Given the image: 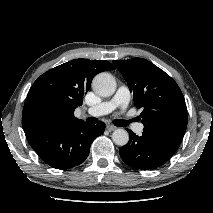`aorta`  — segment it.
I'll list each match as a JSON object with an SVG mask.
<instances>
[{"instance_id": "1", "label": "aorta", "mask_w": 213, "mask_h": 213, "mask_svg": "<svg viewBox=\"0 0 213 213\" xmlns=\"http://www.w3.org/2000/svg\"><path fill=\"white\" fill-rule=\"evenodd\" d=\"M92 86L98 95L109 97L113 95L116 90V81L111 74L102 72L94 77ZM112 140L116 145L124 146L129 141V134L125 129H116L112 133Z\"/></svg>"}]
</instances>
